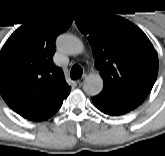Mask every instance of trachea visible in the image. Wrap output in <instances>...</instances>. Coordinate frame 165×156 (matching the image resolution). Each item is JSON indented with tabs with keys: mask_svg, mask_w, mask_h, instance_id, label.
I'll use <instances>...</instances> for the list:
<instances>
[{
	"mask_svg": "<svg viewBox=\"0 0 165 156\" xmlns=\"http://www.w3.org/2000/svg\"><path fill=\"white\" fill-rule=\"evenodd\" d=\"M82 68L79 65H74L71 69V78L72 79H79L82 76Z\"/></svg>",
	"mask_w": 165,
	"mask_h": 156,
	"instance_id": "1",
	"label": "trachea"
}]
</instances>
